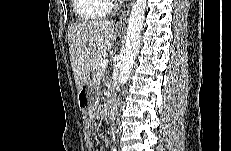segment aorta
Instances as JSON below:
<instances>
[{"instance_id":"762f6f07","label":"aorta","mask_w":231,"mask_h":151,"mask_svg":"<svg viewBox=\"0 0 231 151\" xmlns=\"http://www.w3.org/2000/svg\"><path fill=\"white\" fill-rule=\"evenodd\" d=\"M146 0H135L127 27V40L119 64V84H125L130 76L140 46L141 31L144 21Z\"/></svg>"}]
</instances>
